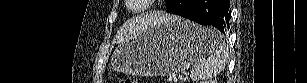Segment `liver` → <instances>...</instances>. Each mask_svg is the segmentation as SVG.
Returning <instances> with one entry per match:
<instances>
[{"label": "liver", "instance_id": "1", "mask_svg": "<svg viewBox=\"0 0 307 83\" xmlns=\"http://www.w3.org/2000/svg\"><path fill=\"white\" fill-rule=\"evenodd\" d=\"M172 16L163 13H152L126 22L117 32L115 40L118 43L128 41L129 39L138 36L146 26L156 25L160 22H165L171 19Z\"/></svg>", "mask_w": 307, "mask_h": 83}]
</instances>
